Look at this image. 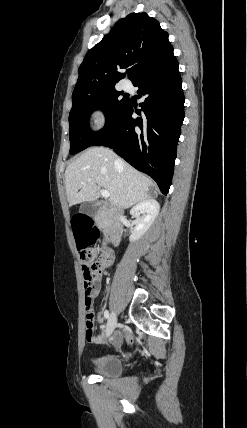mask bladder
<instances>
[{"instance_id": "31cf9c89", "label": "bladder", "mask_w": 247, "mask_h": 428, "mask_svg": "<svg viewBox=\"0 0 247 428\" xmlns=\"http://www.w3.org/2000/svg\"><path fill=\"white\" fill-rule=\"evenodd\" d=\"M90 368L98 375L112 377L121 373L122 363L117 355L107 354L93 359Z\"/></svg>"}]
</instances>
